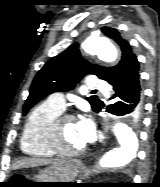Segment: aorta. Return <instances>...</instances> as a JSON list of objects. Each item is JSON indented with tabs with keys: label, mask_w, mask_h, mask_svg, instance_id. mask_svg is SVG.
I'll use <instances>...</instances> for the list:
<instances>
[{
	"label": "aorta",
	"mask_w": 160,
	"mask_h": 187,
	"mask_svg": "<svg viewBox=\"0 0 160 187\" xmlns=\"http://www.w3.org/2000/svg\"><path fill=\"white\" fill-rule=\"evenodd\" d=\"M83 49L90 55H96L100 60L113 62L118 52L114 44L107 37L96 34L88 37L83 43ZM114 135L118 145L108 150L100 159L101 168H116L124 166L135 157L138 148V137L135 131L122 122L115 123Z\"/></svg>",
	"instance_id": "aorta-1"
}]
</instances>
